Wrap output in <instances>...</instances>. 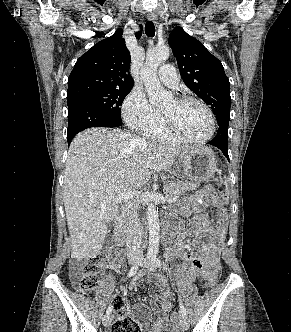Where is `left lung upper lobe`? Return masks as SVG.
Returning a JSON list of instances; mask_svg holds the SVG:
<instances>
[{
    "label": "left lung upper lobe",
    "mask_w": 291,
    "mask_h": 332,
    "mask_svg": "<svg viewBox=\"0 0 291 332\" xmlns=\"http://www.w3.org/2000/svg\"><path fill=\"white\" fill-rule=\"evenodd\" d=\"M168 43L185 85L207 103L217 120L230 119V90L222 63L204 45L176 26Z\"/></svg>",
    "instance_id": "1"
}]
</instances>
